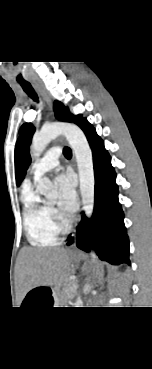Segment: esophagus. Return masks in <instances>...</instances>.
Masks as SVG:
<instances>
[{
    "label": "esophagus",
    "instance_id": "esophagus-1",
    "mask_svg": "<svg viewBox=\"0 0 152 369\" xmlns=\"http://www.w3.org/2000/svg\"><path fill=\"white\" fill-rule=\"evenodd\" d=\"M36 88L38 89V91L42 95V97L45 100V102L47 103L48 107L52 110V101H51L49 95L46 93V91L39 84H36Z\"/></svg>",
    "mask_w": 152,
    "mask_h": 369
}]
</instances>
